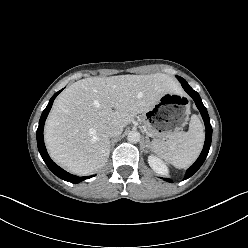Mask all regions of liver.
<instances>
[{"instance_id": "obj_1", "label": "liver", "mask_w": 248, "mask_h": 248, "mask_svg": "<svg viewBox=\"0 0 248 248\" xmlns=\"http://www.w3.org/2000/svg\"><path fill=\"white\" fill-rule=\"evenodd\" d=\"M167 74L89 77L67 87L55 100L44 138L51 158L69 172L89 175L109 157L110 124L126 127L168 92H178Z\"/></svg>"}]
</instances>
